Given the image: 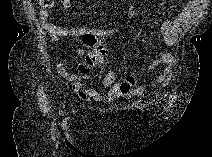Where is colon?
Listing matches in <instances>:
<instances>
[{
	"mask_svg": "<svg viewBox=\"0 0 212 157\" xmlns=\"http://www.w3.org/2000/svg\"><path fill=\"white\" fill-rule=\"evenodd\" d=\"M39 4L43 7H47L51 4L50 1L41 0ZM85 41L91 46V51L88 54L86 61L80 66L82 73H88L93 67H103L107 60V50L99 43L93 35H84Z\"/></svg>",
	"mask_w": 212,
	"mask_h": 157,
	"instance_id": "colon-1",
	"label": "colon"
}]
</instances>
